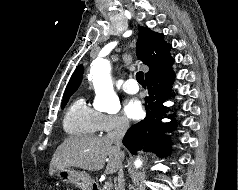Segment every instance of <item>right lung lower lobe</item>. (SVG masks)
<instances>
[{"label":"right lung lower lobe","instance_id":"right-lung-lower-lobe-1","mask_svg":"<svg viewBox=\"0 0 238 190\" xmlns=\"http://www.w3.org/2000/svg\"><path fill=\"white\" fill-rule=\"evenodd\" d=\"M173 61L160 72L146 78L149 96L146 98V118L130 127L123 138V144L132 152L137 150L152 151L158 156L171 153L169 132L176 128V124H166L161 121L166 116L167 108L163 103L170 96L171 85L174 79L172 71Z\"/></svg>","mask_w":238,"mask_h":190}]
</instances>
